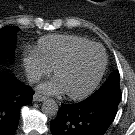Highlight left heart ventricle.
Listing matches in <instances>:
<instances>
[{
  "instance_id": "left-heart-ventricle-1",
  "label": "left heart ventricle",
  "mask_w": 135,
  "mask_h": 135,
  "mask_svg": "<svg viewBox=\"0 0 135 135\" xmlns=\"http://www.w3.org/2000/svg\"><path fill=\"white\" fill-rule=\"evenodd\" d=\"M103 62L99 48L92 47L79 54L70 64L61 68L56 77L66 92L79 93L95 79Z\"/></svg>"
}]
</instances>
